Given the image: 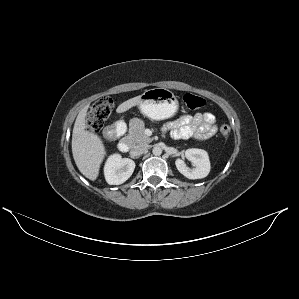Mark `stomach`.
Returning a JSON list of instances; mask_svg holds the SVG:
<instances>
[{
	"label": "stomach",
	"instance_id": "0dacf381",
	"mask_svg": "<svg viewBox=\"0 0 299 299\" xmlns=\"http://www.w3.org/2000/svg\"><path fill=\"white\" fill-rule=\"evenodd\" d=\"M142 114L152 120H163L172 117L178 110L175 94L166 88L146 90L138 103Z\"/></svg>",
	"mask_w": 299,
	"mask_h": 299
}]
</instances>
